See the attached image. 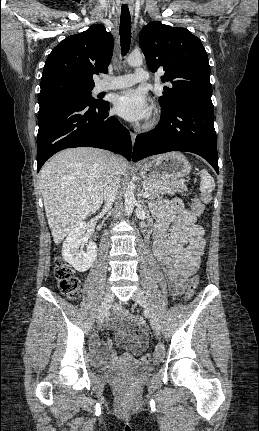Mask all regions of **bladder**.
Listing matches in <instances>:
<instances>
[{
    "label": "bladder",
    "mask_w": 259,
    "mask_h": 431,
    "mask_svg": "<svg viewBox=\"0 0 259 431\" xmlns=\"http://www.w3.org/2000/svg\"><path fill=\"white\" fill-rule=\"evenodd\" d=\"M119 367H120V365H114V366L106 367L105 370L106 371H115Z\"/></svg>",
    "instance_id": "1"
}]
</instances>
